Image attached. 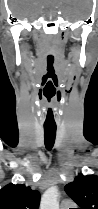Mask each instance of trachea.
<instances>
[{"label":"trachea","mask_w":98,"mask_h":209,"mask_svg":"<svg viewBox=\"0 0 98 209\" xmlns=\"http://www.w3.org/2000/svg\"><path fill=\"white\" fill-rule=\"evenodd\" d=\"M56 137V127L44 126V141L48 150H51Z\"/></svg>","instance_id":"3493384b"}]
</instances>
